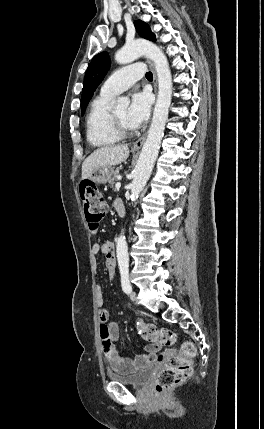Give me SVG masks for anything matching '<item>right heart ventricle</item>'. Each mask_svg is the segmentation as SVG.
Masks as SVG:
<instances>
[{
	"instance_id": "right-heart-ventricle-1",
	"label": "right heart ventricle",
	"mask_w": 264,
	"mask_h": 429,
	"mask_svg": "<svg viewBox=\"0 0 264 429\" xmlns=\"http://www.w3.org/2000/svg\"><path fill=\"white\" fill-rule=\"evenodd\" d=\"M113 96L100 93L91 103L86 117V136L93 147L114 145L120 137L114 132L110 119V102Z\"/></svg>"
}]
</instances>
